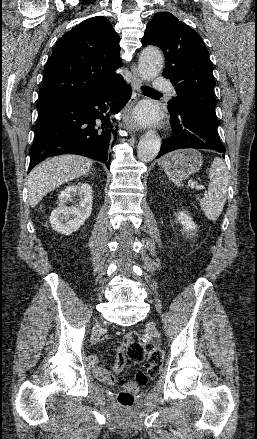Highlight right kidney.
Segmentation results:
<instances>
[{"mask_svg":"<svg viewBox=\"0 0 257 439\" xmlns=\"http://www.w3.org/2000/svg\"><path fill=\"white\" fill-rule=\"evenodd\" d=\"M58 198L59 204L51 213L50 224L53 230L71 235L91 214L92 187L88 183L72 184L61 191Z\"/></svg>","mask_w":257,"mask_h":439,"instance_id":"right-kidney-1","label":"right kidney"}]
</instances>
